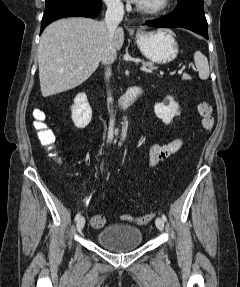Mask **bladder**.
<instances>
[{
	"mask_svg": "<svg viewBox=\"0 0 240 287\" xmlns=\"http://www.w3.org/2000/svg\"><path fill=\"white\" fill-rule=\"evenodd\" d=\"M96 241L100 246L114 252H125L141 245L142 231L131 225L111 224L99 231Z\"/></svg>",
	"mask_w": 240,
	"mask_h": 287,
	"instance_id": "bladder-1",
	"label": "bladder"
}]
</instances>
